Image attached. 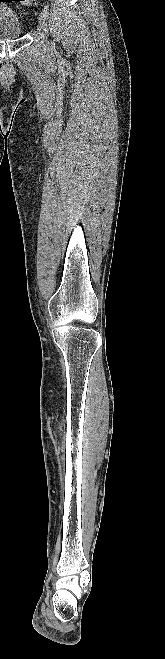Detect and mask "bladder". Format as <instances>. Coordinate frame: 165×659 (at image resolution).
Listing matches in <instances>:
<instances>
[{"label": "bladder", "instance_id": "1", "mask_svg": "<svg viewBox=\"0 0 165 659\" xmlns=\"http://www.w3.org/2000/svg\"><path fill=\"white\" fill-rule=\"evenodd\" d=\"M22 32L18 15L11 8L0 5V41L18 39Z\"/></svg>", "mask_w": 165, "mask_h": 659}]
</instances>
